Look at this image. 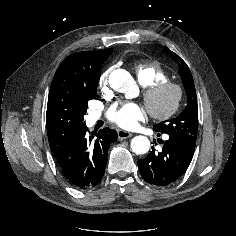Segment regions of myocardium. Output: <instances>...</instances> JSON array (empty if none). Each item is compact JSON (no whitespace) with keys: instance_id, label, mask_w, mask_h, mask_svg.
I'll return each mask as SVG.
<instances>
[{"instance_id":"obj_1","label":"myocardium","mask_w":236,"mask_h":236,"mask_svg":"<svg viewBox=\"0 0 236 236\" xmlns=\"http://www.w3.org/2000/svg\"><path fill=\"white\" fill-rule=\"evenodd\" d=\"M165 90H172L174 93L171 103L163 110H157L153 107L155 98ZM184 97L182 85L174 81H161L145 88L143 99L150 115L157 120H166L172 117L179 109Z\"/></svg>"}]
</instances>
